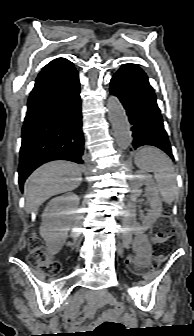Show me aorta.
<instances>
[{"label":"aorta","mask_w":194,"mask_h":336,"mask_svg":"<svg viewBox=\"0 0 194 336\" xmlns=\"http://www.w3.org/2000/svg\"><path fill=\"white\" fill-rule=\"evenodd\" d=\"M108 117L120 149H127L132 142L130 123L120 100L110 96L107 100Z\"/></svg>","instance_id":"762f6f07"}]
</instances>
